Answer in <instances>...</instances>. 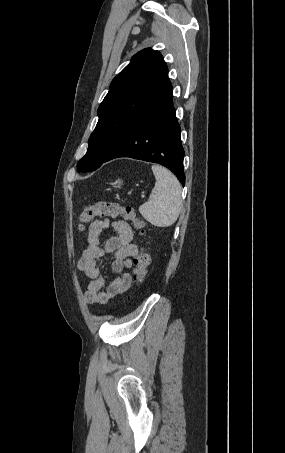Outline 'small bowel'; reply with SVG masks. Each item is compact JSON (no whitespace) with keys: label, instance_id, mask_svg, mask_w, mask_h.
<instances>
[{"label":"small bowel","instance_id":"c3829d8e","mask_svg":"<svg viewBox=\"0 0 285 453\" xmlns=\"http://www.w3.org/2000/svg\"><path fill=\"white\" fill-rule=\"evenodd\" d=\"M108 227L113 229L115 235L108 238L102 246L100 235ZM133 238L130 225L122 220H95L89 225L87 245L77 263L78 270L89 279L85 292L88 304H105L130 287L132 279L127 269L132 266V258L138 254ZM108 253L114 254L112 270L117 277L105 287L98 262Z\"/></svg>","mask_w":285,"mask_h":453}]
</instances>
